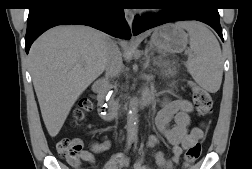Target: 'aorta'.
<instances>
[{
	"label": "aorta",
	"mask_w": 252,
	"mask_h": 169,
	"mask_svg": "<svg viewBox=\"0 0 252 169\" xmlns=\"http://www.w3.org/2000/svg\"><path fill=\"white\" fill-rule=\"evenodd\" d=\"M127 139L134 140L137 139L138 134V108L137 102L132 101L129 106V110L127 113Z\"/></svg>",
	"instance_id": "762f6f07"
}]
</instances>
